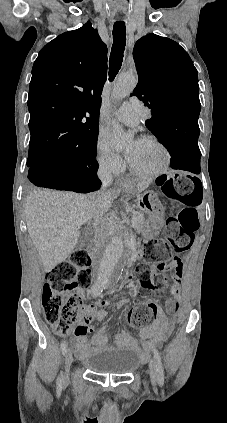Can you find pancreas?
<instances>
[{"mask_svg": "<svg viewBox=\"0 0 227 423\" xmlns=\"http://www.w3.org/2000/svg\"><path fill=\"white\" fill-rule=\"evenodd\" d=\"M133 217H136L134 229L137 233H140L145 227V215H143V213H135ZM114 227H117V229H124L122 225H112L111 221H107V219H103V221L97 225L96 229L99 235H112V233H114ZM124 231H127V229H124Z\"/></svg>", "mask_w": 227, "mask_h": 423, "instance_id": "obj_1", "label": "pancreas"}]
</instances>
